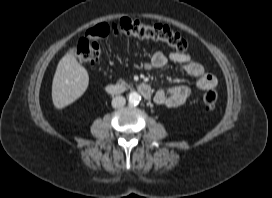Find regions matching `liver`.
Wrapping results in <instances>:
<instances>
[{"instance_id":"liver-1","label":"liver","mask_w":272,"mask_h":198,"mask_svg":"<svg viewBox=\"0 0 272 198\" xmlns=\"http://www.w3.org/2000/svg\"><path fill=\"white\" fill-rule=\"evenodd\" d=\"M89 83L87 70L73 54H66L59 61L52 82V101L57 109L76 101L86 91Z\"/></svg>"}]
</instances>
